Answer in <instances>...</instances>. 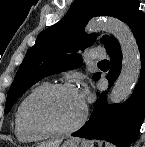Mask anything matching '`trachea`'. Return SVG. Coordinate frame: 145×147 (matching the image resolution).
Returning <instances> with one entry per match:
<instances>
[{
	"instance_id": "obj_1",
	"label": "trachea",
	"mask_w": 145,
	"mask_h": 147,
	"mask_svg": "<svg viewBox=\"0 0 145 147\" xmlns=\"http://www.w3.org/2000/svg\"><path fill=\"white\" fill-rule=\"evenodd\" d=\"M101 64H108L109 62L107 60L101 61Z\"/></svg>"
}]
</instances>
